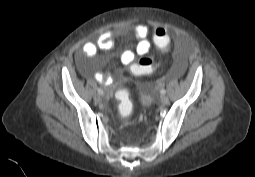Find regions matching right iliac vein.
Segmentation results:
<instances>
[{"label":"right iliac vein","mask_w":255,"mask_h":177,"mask_svg":"<svg viewBox=\"0 0 255 177\" xmlns=\"http://www.w3.org/2000/svg\"><path fill=\"white\" fill-rule=\"evenodd\" d=\"M100 100H101L100 95H99V94H96V95L94 96V101L98 103V102H100Z\"/></svg>","instance_id":"1"}]
</instances>
